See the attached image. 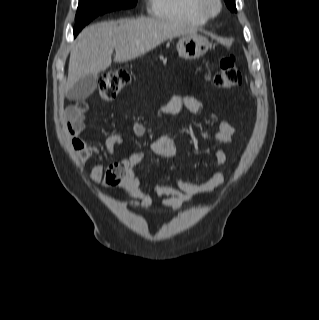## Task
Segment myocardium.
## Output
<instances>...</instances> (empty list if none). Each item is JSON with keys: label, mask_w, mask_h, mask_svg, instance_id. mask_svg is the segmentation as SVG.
<instances>
[{"label": "myocardium", "mask_w": 319, "mask_h": 320, "mask_svg": "<svg viewBox=\"0 0 319 320\" xmlns=\"http://www.w3.org/2000/svg\"><path fill=\"white\" fill-rule=\"evenodd\" d=\"M197 11L207 20L217 17L222 10L221 0H195Z\"/></svg>", "instance_id": "1"}]
</instances>
